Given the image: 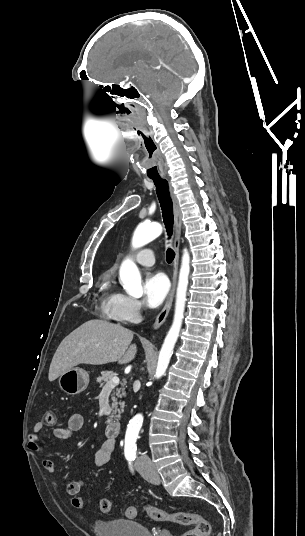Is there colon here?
<instances>
[{"label": "colon", "instance_id": "colon-1", "mask_svg": "<svg viewBox=\"0 0 305 536\" xmlns=\"http://www.w3.org/2000/svg\"><path fill=\"white\" fill-rule=\"evenodd\" d=\"M53 420L54 413H48L45 422L51 424L53 423ZM71 504L78 512H87L85 509L87 503L83 502V495H74L71 499ZM100 510L103 513H111L113 511L112 501L108 498L101 499ZM143 510L150 518L156 521H168L181 525H192V529L187 532L185 536H211V524L206 518L198 514L185 512L169 513L147 503L143 505ZM124 514L126 518H134L137 514V508L135 506H129L125 509Z\"/></svg>", "mask_w": 305, "mask_h": 536}]
</instances>
